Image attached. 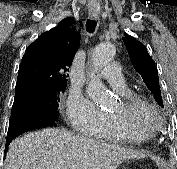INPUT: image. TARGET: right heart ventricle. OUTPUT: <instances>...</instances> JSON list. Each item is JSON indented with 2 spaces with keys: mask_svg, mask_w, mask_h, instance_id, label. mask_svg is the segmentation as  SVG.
I'll return each mask as SVG.
<instances>
[{
  "mask_svg": "<svg viewBox=\"0 0 177 169\" xmlns=\"http://www.w3.org/2000/svg\"><path fill=\"white\" fill-rule=\"evenodd\" d=\"M121 96H129L131 94L130 90L118 91ZM98 139L110 140V141H133L142 142L150 137H138L135 140H130L127 138L125 132L122 130L117 120L111 113H103L102 122L99 131L95 135Z\"/></svg>",
  "mask_w": 177,
  "mask_h": 169,
  "instance_id": "right-heart-ventricle-1",
  "label": "right heart ventricle"
}]
</instances>
